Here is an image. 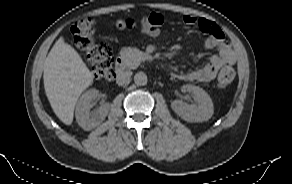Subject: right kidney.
Masks as SVG:
<instances>
[{"label": "right kidney", "mask_w": 292, "mask_h": 184, "mask_svg": "<svg viewBox=\"0 0 292 184\" xmlns=\"http://www.w3.org/2000/svg\"><path fill=\"white\" fill-rule=\"evenodd\" d=\"M99 95L96 89L86 91L76 105L75 116L78 124L86 131L98 126L107 116L110 105L105 103L99 108L90 111V103Z\"/></svg>", "instance_id": "right-kidney-1"}]
</instances>
